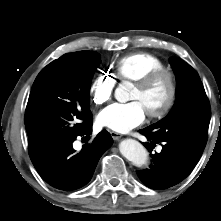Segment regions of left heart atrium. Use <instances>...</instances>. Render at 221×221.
<instances>
[{"label": "left heart atrium", "mask_w": 221, "mask_h": 221, "mask_svg": "<svg viewBox=\"0 0 221 221\" xmlns=\"http://www.w3.org/2000/svg\"><path fill=\"white\" fill-rule=\"evenodd\" d=\"M146 111L142 103L134 100L128 103H114L97 116V123L117 132H128L143 123Z\"/></svg>", "instance_id": "39dd6f15"}]
</instances>
